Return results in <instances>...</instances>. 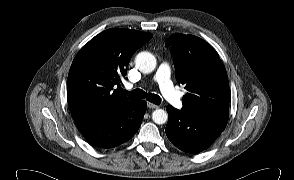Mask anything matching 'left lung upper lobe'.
<instances>
[{
    "label": "left lung upper lobe",
    "instance_id": "1",
    "mask_svg": "<svg viewBox=\"0 0 294 180\" xmlns=\"http://www.w3.org/2000/svg\"><path fill=\"white\" fill-rule=\"evenodd\" d=\"M166 45L171 47L177 82L188 91L182 111L228 117V76L216 50L196 36L178 33Z\"/></svg>",
    "mask_w": 294,
    "mask_h": 180
}]
</instances>
